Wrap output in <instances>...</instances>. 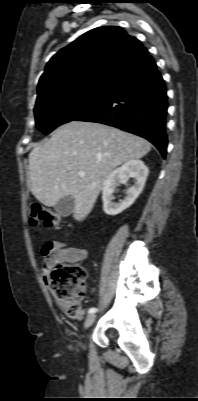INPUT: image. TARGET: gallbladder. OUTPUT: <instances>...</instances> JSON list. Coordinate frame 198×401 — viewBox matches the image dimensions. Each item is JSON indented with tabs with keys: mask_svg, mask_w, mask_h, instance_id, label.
<instances>
[{
	"mask_svg": "<svg viewBox=\"0 0 198 401\" xmlns=\"http://www.w3.org/2000/svg\"><path fill=\"white\" fill-rule=\"evenodd\" d=\"M75 207V200L73 197H65L59 200L54 205V210L61 216L66 217L69 216Z\"/></svg>",
	"mask_w": 198,
	"mask_h": 401,
	"instance_id": "obj_1",
	"label": "gallbladder"
}]
</instances>
